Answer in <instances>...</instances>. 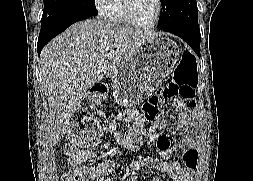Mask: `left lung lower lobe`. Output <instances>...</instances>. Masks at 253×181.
I'll return each instance as SVG.
<instances>
[{
  "mask_svg": "<svg viewBox=\"0 0 253 181\" xmlns=\"http://www.w3.org/2000/svg\"><path fill=\"white\" fill-rule=\"evenodd\" d=\"M163 31L170 32L181 37L187 42L196 54L200 57V29L199 28H183V27H161Z\"/></svg>",
  "mask_w": 253,
  "mask_h": 181,
  "instance_id": "0a47b994",
  "label": "left lung lower lobe"
}]
</instances>
